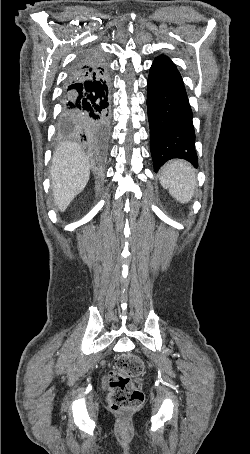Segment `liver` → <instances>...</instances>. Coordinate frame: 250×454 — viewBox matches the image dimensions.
<instances>
[{
    "instance_id": "obj_1",
    "label": "liver",
    "mask_w": 250,
    "mask_h": 454,
    "mask_svg": "<svg viewBox=\"0 0 250 454\" xmlns=\"http://www.w3.org/2000/svg\"><path fill=\"white\" fill-rule=\"evenodd\" d=\"M90 169L81 147L63 143L54 152L51 166V183L54 203L61 212L85 188Z\"/></svg>"
}]
</instances>
